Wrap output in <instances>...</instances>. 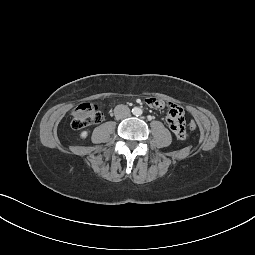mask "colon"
Instances as JSON below:
<instances>
[{
  "label": "colon",
  "mask_w": 255,
  "mask_h": 255,
  "mask_svg": "<svg viewBox=\"0 0 255 255\" xmlns=\"http://www.w3.org/2000/svg\"><path fill=\"white\" fill-rule=\"evenodd\" d=\"M102 120V112L99 110L98 106L92 102L82 103L72 112V127L75 129H81L91 124H97ZM188 129L191 132H194L197 129V123L194 120H191L188 123Z\"/></svg>",
  "instance_id": "obj_1"
}]
</instances>
